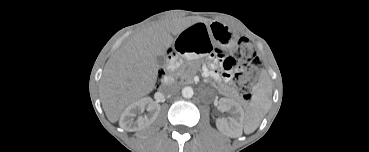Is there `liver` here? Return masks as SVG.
Segmentation results:
<instances>
[{"mask_svg":"<svg viewBox=\"0 0 369 152\" xmlns=\"http://www.w3.org/2000/svg\"><path fill=\"white\" fill-rule=\"evenodd\" d=\"M183 30L177 21H159L134 34L106 62L100 81V97L108 120L118 121L130 104L155 88L159 64L174 39Z\"/></svg>","mask_w":369,"mask_h":152,"instance_id":"obj_1","label":"liver"}]
</instances>
